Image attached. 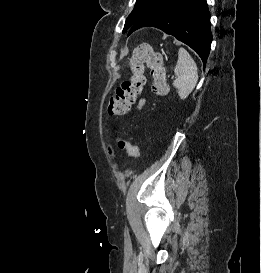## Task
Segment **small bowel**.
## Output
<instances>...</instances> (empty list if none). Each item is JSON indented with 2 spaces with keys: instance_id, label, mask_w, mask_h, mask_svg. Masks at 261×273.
Segmentation results:
<instances>
[{
  "instance_id": "1",
  "label": "small bowel",
  "mask_w": 261,
  "mask_h": 273,
  "mask_svg": "<svg viewBox=\"0 0 261 273\" xmlns=\"http://www.w3.org/2000/svg\"><path fill=\"white\" fill-rule=\"evenodd\" d=\"M145 102H146L145 99H141L138 103V108L141 109L144 106ZM109 152H110V155L114 158L115 154H114V150L112 146L109 147Z\"/></svg>"
}]
</instances>
